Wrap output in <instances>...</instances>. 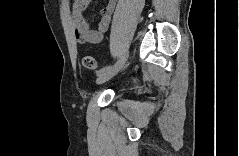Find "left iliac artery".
<instances>
[{
	"label": "left iliac artery",
	"mask_w": 239,
	"mask_h": 156,
	"mask_svg": "<svg viewBox=\"0 0 239 156\" xmlns=\"http://www.w3.org/2000/svg\"><path fill=\"white\" fill-rule=\"evenodd\" d=\"M112 65H108V66H105L101 69H99L97 72H96V75L99 76L101 74H103L105 71H107Z\"/></svg>",
	"instance_id": "44dca946"
}]
</instances>
